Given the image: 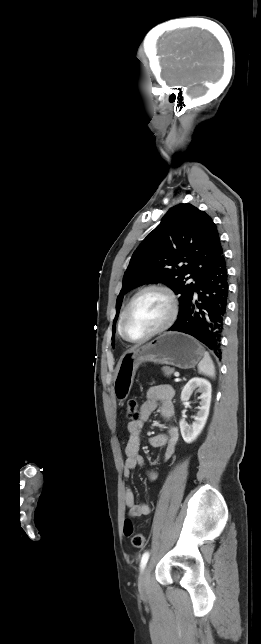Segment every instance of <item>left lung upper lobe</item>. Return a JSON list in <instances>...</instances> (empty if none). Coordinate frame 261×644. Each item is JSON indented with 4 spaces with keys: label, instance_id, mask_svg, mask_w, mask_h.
<instances>
[{
    "label": "left lung upper lobe",
    "instance_id": "5c2ea615",
    "mask_svg": "<svg viewBox=\"0 0 261 644\" xmlns=\"http://www.w3.org/2000/svg\"><path fill=\"white\" fill-rule=\"evenodd\" d=\"M222 253L219 233L210 216L191 204L171 208L135 250L117 297V313L129 290L149 282H162L180 294V315ZM190 278L194 279L191 283L187 282Z\"/></svg>",
    "mask_w": 261,
    "mask_h": 644
}]
</instances>
